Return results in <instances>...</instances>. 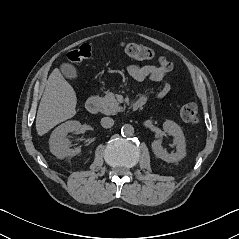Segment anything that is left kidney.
Here are the masks:
<instances>
[{
    "mask_svg": "<svg viewBox=\"0 0 239 239\" xmlns=\"http://www.w3.org/2000/svg\"><path fill=\"white\" fill-rule=\"evenodd\" d=\"M163 129L169 135L174 137V142L176 144V152L175 153H168L162 147V141L160 139L154 140L151 144L152 150L156 157L168 162L174 163L181 161L186 156V143L185 137L181 127L171 120H166L163 123Z\"/></svg>",
    "mask_w": 239,
    "mask_h": 239,
    "instance_id": "left-kidney-1",
    "label": "left kidney"
}]
</instances>
